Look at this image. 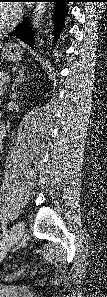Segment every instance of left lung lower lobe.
Listing matches in <instances>:
<instances>
[{
	"label": "left lung lower lobe",
	"instance_id": "left-lung-lower-lobe-1",
	"mask_svg": "<svg viewBox=\"0 0 107 297\" xmlns=\"http://www.w3.org/2000/svg\"><path fill=\"white\" fill-rule=\"evenodd\" d=\"M36 2L46 1V2H56L55 12H54V22L56 23L55 39L59 35L60 30L63 26V21L66 12V3L70 0H35ZM10 36H17L23 42L33 46V35L32 30L29 24V20H24L19 26L9 34Z\"/></svg>",
	"mask_w": 107,
	"mask_h": 297
}]
</instances>
